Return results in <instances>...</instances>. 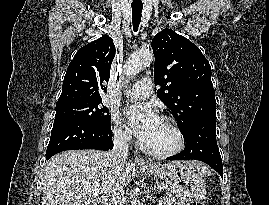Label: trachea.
<instances>
[{"instance_id": "1", "label": "trachea", "mask_w": 269, "mask_h": 205, "mask_svg": "<svg viewBox=\"0 0 269 205\" xmlns=\"http://www.w3.org/2000/svg\"><path fill=\"white\" fill-rule=\"evenodd\" d=\"M142 9H143V5L132 6L133 30L135 32H137L139 28V24H140L141 16H142Z\"/></svg>"}]
</instances>
